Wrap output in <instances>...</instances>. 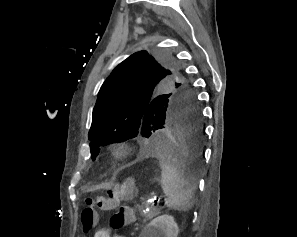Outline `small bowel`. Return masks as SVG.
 I'll return each mask as SVG.
<instances>
[{"mask_svg": "<svg viewBox=\"0 0 297 237\" xmlns=\"http://www.w3.org/2000/svg\"><path fill=\"white\" fill-rule=\"evenodd\" d=\"M94 237H125V236L118 235V234L112 235L111 231L106 229L96 233Z\"/></svg>", "mask_w": 297, "mask_h": 237, "instance_id": "obj_1", "label": "small bowel"}]
</instances>
